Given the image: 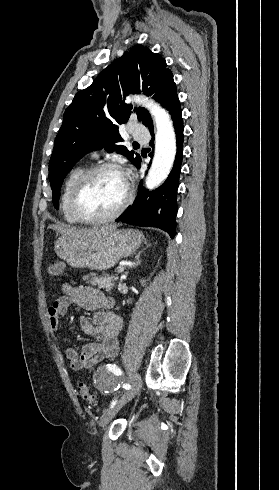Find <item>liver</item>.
Here are the masks:
<instances>
[{"label":"liver","instance_id":"liver-1","mask_svg":"<svg viewBox=\"0 0 279 490\" xmlns=\"http://www.w3.org/2000/svg\"><path fill=\"white\" fill-rule=\"evenodd\" d=\"M51 230H57L59 234L65 236V238H70V240H79V238H91L93 234H105V232H112L116 230L117 226H99V228H85V230H77V228H72V226H56L52 224L49 226Z\"/></svg>","mask_w":279,"mask_h":490}]
</instances>
